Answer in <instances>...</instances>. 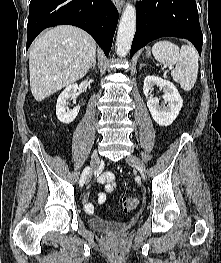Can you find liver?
I'll return each mask as SVG.
<instances>
[{"label": "liver", "instance_id": "obj_1", "mask_svg": "<svg viewBox=\"0 0 221 263\" xmlns=\"http://www.w3.org/2000/svg\"><path fill=\"white\" fill-rule=\"evenodd\" d=\"M96 58V43L84 30L61 25L41 34L29 54L30 88L40 102L83 78Z\"/></svg>", "mask_w": 221, "mask_h": 263}]
</instances>
